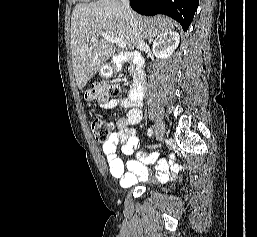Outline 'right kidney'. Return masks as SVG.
Segmentation results:
<instances>
[{
    "label": "right kidney",
    "instance_id": "1",
    "mask_svg": "<svg viewBox=\"0 0 257 237\" xmlns=\"http://www.w3.org/2000/svg\"><path fill=\"white\" fill-rule=\"evenodd\" d=\"M180 42V36L177 32L167 31L159 35L153 42V53L159 59L170 57Z\"/></svg>",
    "mask_w": 257,
    "mask_h": 237
}]
</instances>
